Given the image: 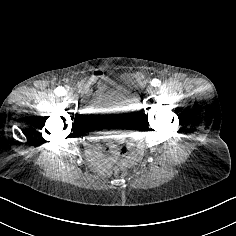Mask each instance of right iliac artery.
<instances>
[{"mask_svg": "<svg viewBox=\"0 0 236 236\" xmlns=\"http://www.w3.org/2000/svg\"><path fill=\"white\" fill-rule=\"evenodd\" d=\"M54 93H55L57 96H64V95H66V90L64 89V87L59 86V87H57V88L54 90Z\"/></svg>", "mask_w": 236, "mask_h": 236, "instance_id": "right-iliac-artery-1", "label": "right iliac artery"}]
</instances>
